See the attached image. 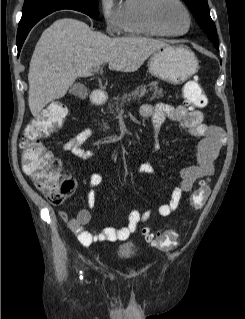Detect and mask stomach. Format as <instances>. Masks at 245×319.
<instances>
[{"label":"stomach","mask_w":245,"mask_h":319,"mask_svg":"<svg viewBox=\"0 0 245 319\" xmlns=\"http://www.w3.org/2000/svg\"><path fill=\"white\" fill-rule=\"evenodd\" d=\"M148 69L155 77L179 84L197 72L198 60L185 46L166 45L151 55Z\"/></svg>","instance_id":"0dacf381"}]
</instances>
